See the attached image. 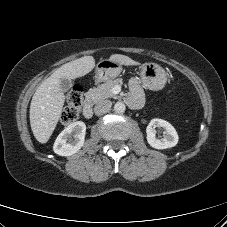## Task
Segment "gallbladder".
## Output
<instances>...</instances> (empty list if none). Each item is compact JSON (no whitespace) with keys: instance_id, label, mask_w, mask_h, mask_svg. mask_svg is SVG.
I'll return each instance as SVG.
<instances>
[{"instance_id":"obj_1","label":"gallbladder","mask_w":227,"mask_h":227,"mask_svg":"<svg viewBox=\"0 0 227 227\" xmlns=\"http://www.w3.org/2000/svg\"><path fill=\"white\" fill-rule=\"evenodd\" d=\"M60 85L63 91H68L72 87V81L70 79H61Z\"/></svg>"}]
</instances>
